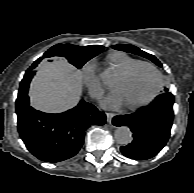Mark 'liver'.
<instances>
[{
  "label": "liver",
  "mask_w": 194,
  "mask_h": 193,
  "mask_svg": "<svg viewBox=\"0 0 194 193\" xmlns=\"http://www.w3.org/2000/svg\"><path fill=\"white\" fill-rule=\"evenodd\" d=\"M82 91L81 73L61 61L42 66L33 79L31 105L47 113H59L75 106Z\"/></svg>",
  "instance_id": "1"
}]
</instances>
